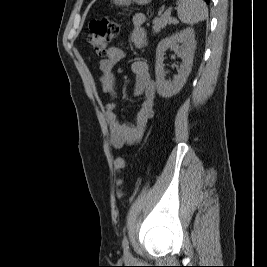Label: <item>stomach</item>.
Segmentation results:
<instances>
[{
  "label": "stomach",
  "instance_id": "obj_1",
  "mask_svg": "<svg viewBox=\"0 0 267 267\" xmlns=\"http://www.w3.org/2000/svg\"><path fill=\"white\" fill-rule=\"evenodd\" d=\"M114 4L119 5V6H128L131 3H137L140 5H146L151 2V0H113Z\"/></svg>",
  "mask_w": 267,
  "mask_h": 267
}]
</instances>
